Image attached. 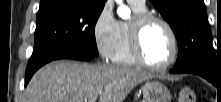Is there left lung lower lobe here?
<instances>
[{
  "mask_svg": "<svg viewBox=\"0 0 221 102\" xmlns=\"http://www.w3.org/2000/svg\"><path fill=\"white\" fill-rule=\"evenodd\" d=\"M171 73H192V74H197L202 76L203 78H205L206 80H208L209 82H211L214 85L219 84V77L213 73L212 71H210L209 69L202 67V66H198V65H188V66H182V67H178V68H173L171 71Z\"/></svg>",
  "mask_w": 221,
  "mask_h": 102,
  "instance_id": "1",
  "label": "left lung lower lobe"
}]
</instances>
